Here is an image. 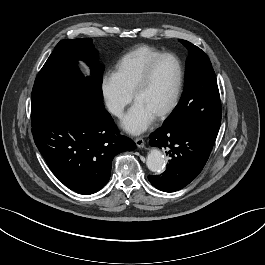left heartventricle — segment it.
Returning a JSON list of instances; mask_svg holds the SVG:
<instances>
[{"mask_svg": "<svg viewBox=\"0 0 265 265\" xmlns=\"http://www.w3.org/2000/svg\"><path fill=\"white\" fill-rule=\"evenodd\" d=\"M178 78L176 62L171 58L161 60L153 70L146 88L135 98L154 117L171 102Z\"/></svg>", "mask_w": 265, "mask_h": 265, "instance_id": "b2bd125f", "label": "left heart ventricle"}]
</instances>
